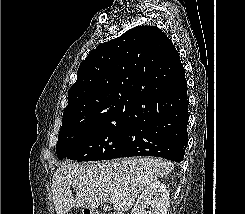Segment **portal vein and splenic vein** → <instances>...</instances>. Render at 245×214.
<instances>
[{
  "instance_id": "portal-vein-and-splenic-vein-1",
  "label": "portal vein and splenic vein",
  "mask_w": 245,
  "mask_h": 214,
  "mask_svg": "<svg viewBox=\"0 0 245 214\" xmlns=\"http://www.w3.org/2000/svg\"><path fill=\"white\" fill-rule=\"evenodd\" d=\"M112 199H113V200L117 199V195H113V196H112Z\"/></svg>"
}]
</instances>
